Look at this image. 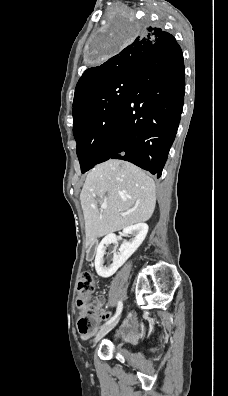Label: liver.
<instances>
[{
	"label": "liver",
	"instance_id": "obj_1",
	"mask_svg": "<svg viewBox=\"0 0 228 396\" xmlns=\"http://www.w3.org/2000/svg\"><path fill=\"white\" fill-rule=\"evenodd\" d=\"M80 201L86 244L91 245L99 237L149 220L156 204L155 183L129 162L108 160L87 174ZM99 203L107 208L100 212Z\"/></svg>",
	"mask_w": 228,
	"mask_h": 396
}]
</instances>
